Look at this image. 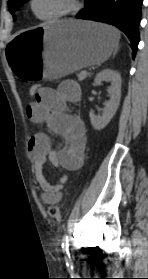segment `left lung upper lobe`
I'll use <instances>...</instances> for the list:
<instances>
[{
    "label": "left lung upper lobe",
    "mask_w": 148,
    "mask_h": 279,
    "mask_svg": "<svg viewBox=\"0 0 148 279\" xmlns=\"http://www.w3.org/2000/svg\"><path fill=\"white\" fill-rule=\"evenodd\" d=\"M26 1L28 0H9L8 6L10 12L13 14L15 10H17L19 7H21ZM15 18V16H14Z\"/></svg>",
    "instance_id": "5c2ea615"
}]
</instances>
